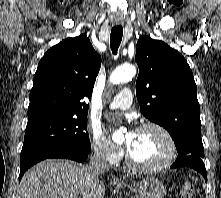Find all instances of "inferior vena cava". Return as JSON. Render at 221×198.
<instances>
[{
    "instance_id": "inferior-vena-cava-1",
    "label": "inferior vena cava",
    "mask_w": 221,
    "mask_h": 198,
    "mask_svg": "<svg viewBox=\"0 0 221 198\" xmlns=\"http://www.w3.org/2000/svg\"><path fill=\"white\" fill-rule=\"evenodd\" d=\"M89 168L95 174L101 175L108 171V163L106 160L105 152L102 150H96L90 158Z\"/></svg>"
}]
</instances>
